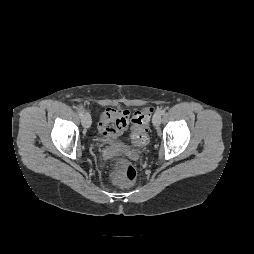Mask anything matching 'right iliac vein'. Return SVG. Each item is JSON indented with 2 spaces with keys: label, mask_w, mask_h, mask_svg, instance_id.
<instances>
[{
  "label": "right iliac vein",
  "mask_w": 254,
  "mask_h": 254,
  "mask_svg": "<svg viewBox=\"0 0 254 254\" xmlns=\"http://www.w3.org/2000/svg\"><path fill=\"white\" fill-rule=\"evenodd\" d=\"M82 125L84 128L88 129L91 126V117L88 113H84L82 118Z\"/></svg>",
  "instance_id": "1"
}]
</instances>
